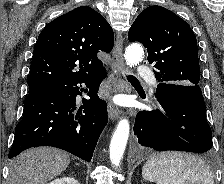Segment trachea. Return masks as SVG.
I'll use <instances>...</instances> for the list:
<instances>
[{
  "label": "trachea",
  "mask_w": 224,
  "mask_h": 184,
  "mask_svg": "<svg viewBox=\"0 0 224 184\" xmlns=\"http://www.w3.org/2000/svg\"><path fill=\"white\" fill-rule=\"evenodd\" d=\"M127 79H128L129 81L137 80V78L134 77V76H132V75L127 76Z\"/></svg>",
  "instance_id": "3493384b"
}]
</instances>
